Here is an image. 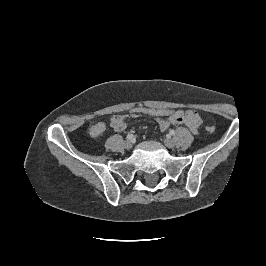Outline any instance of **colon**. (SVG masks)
<instances>
[{"label":"colon","mask_w":266,"mask_h":266,"mask_svg":"<svg viewBox=\"0 0 266 266\" xmlns=\"http://www.w3.org/2000/svg\"><path fill=\"white\" fill-rule=\"evenodd\" d=\"M175 111L169 108H161V107H149V106H142L138 105L133 107L128 114L125 116L128 118H137L140 116H150L153 118H164L171 116ZM206 130L208 132H214V126H207Z\"/></svg>","instance_id":"1"}]
</instances>
